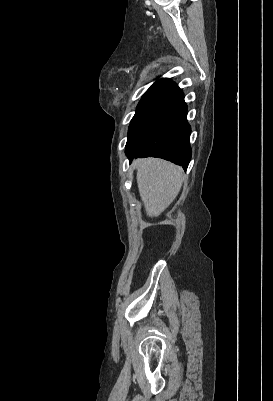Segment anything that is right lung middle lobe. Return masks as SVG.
<instances>
[{
    "label": "right lung middle lobe",
    "instance_id": "1",
    "mask_svg": "<svg viewBox=\"0 0 273 401\" xmlns=\"http://www.w3.org/2000/svg\"><path fill=\"white\" fill-rule=\"evenodd\" d=\"M171 98L164 96L145 95L137 106L136 113L131 121L128 140L153 114L166 105Z\"/></svg>",
    "mask_w": 273,
    "mask_h": 401
}]
</instances>
